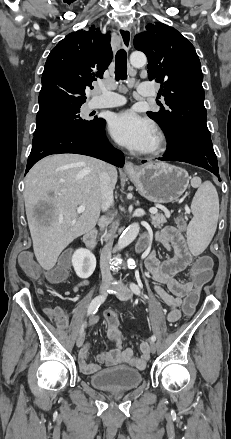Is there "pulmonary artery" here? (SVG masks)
<instances>
[{
  "instance_id": "e3ab8cb5",
  "label": "pulmonary artery",
  "mask_w": 231,
  "mask_h": 439,
  "mask_svg": "<svg viewBox=\"0 0 231 439\" xmlns=\"http://www.w3.org/2000/svg\"><path fill=\"white\" fill-rule=\"evenodd\" d=\"M138 92L143 96H150L154 94V87L152 84L144 82L139 85ZM102 93L103 94L100 97H97L90 102L91 108L117 107L126 102L125 98L117 93L105 89H102Z\"/></svg>"
}]
</instances>
